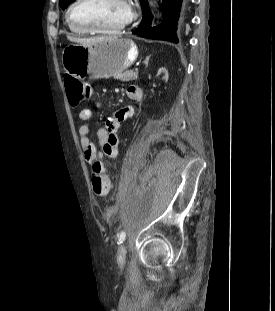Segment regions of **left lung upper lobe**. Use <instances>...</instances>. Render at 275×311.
Wrapping results in <instances>:
<instances>
[{"label": "left lung upper lobe", "instance_id": "obj_1", "mask_svg": "<svg viewBox=\"0 0 275 311\" xmlns=\"http://www.w3.org/2000/svg\"><path fill=\"white\" fill-rule=\"evenodd\" d=\"M74 0H60V7L64 10L68 7L69 4H71ZM140 3L143 2V0H139Z\"/></svg>", "mask_w": 275, "mask_h": 311}]
</instances>
